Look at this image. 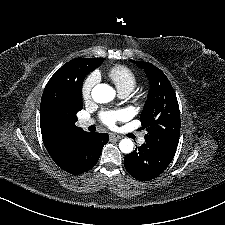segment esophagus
I'll list each match as a JSON object with an SVG mask.
<instances>
[{"label": "esophagus", "mask_w": 225, "mask_h": 225, "mask_svg": "<svg viewBox=\"0 0 225 225\" xmlns=\"http://www.w3.org/2000/svg\"><path fill=\"white\" fill-rule=\"evenodd\" d=\"M109 138L110 140H119L121 137L114 133H110Z\"/></svg>", "instance_id": "1"}]
</instances>
